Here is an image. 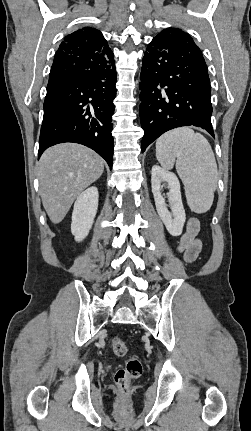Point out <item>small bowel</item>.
I'll list each match as a JSON object with an SVG mask.
<instances>
[{"mask_svg":"<svg viewBox=\"0 0 251 431\" xmlns=\"http://www.w3.org/2000/svg\"><path fill=\"white\" fill-rule=\"evenodd\" d=\"M199 221L192 217L188 220L185 232L181 235L177 250L182 254L186 263H192L198 257L202 242L197 237L199 232Z\"/></svg>","mask_w":251,"mask_h":431,"instance_id":"1","label":"small bowel"}]
</instances>
